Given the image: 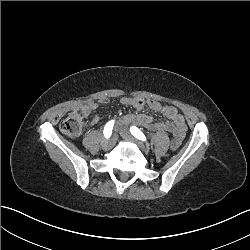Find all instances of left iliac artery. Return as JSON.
Returning a JSON list of instances; mask_svg holds the SVG:
<instances>
[{
	"label": "left iliac artery",
	"instance_id": "obj_1",
	"mask_svg": "<svg viewBox=\"0 0 250 250\" xmlns=\"http://www.w3.org/2000/svg\"><path fill=\"white\" fill-rule=\"evenodd\" d=\"M130 132H131L132 135H133L134 137H136L137 139L142 140V141H146L145 135H144L143 132H141L136 126H132V127L130 128Z\"/></svg>",
	"mask_w": 250,
	"mask_h": 250
}]
</instances>
